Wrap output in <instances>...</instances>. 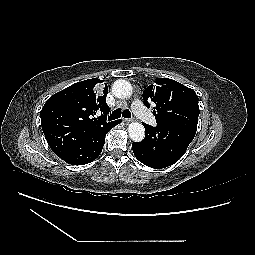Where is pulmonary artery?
<instances>
[{
  "mask_svg": "<svg viewBox=\"0 0 255 255\" xmlns=\"http://www.w3.org/2000/svg\"><path fill=\"white\" fill-rule=\"evenodd\" d=\"M131 109L133 113L142 121L156 126V119L155 117L142 105L139 99H134L131 103Z\"/></svg>",
  "mask_w": 255,
  "mask_h": 255,
  "instance_id": "obj_1",
  "label": "pulmonary artery"
}]
</instances>
